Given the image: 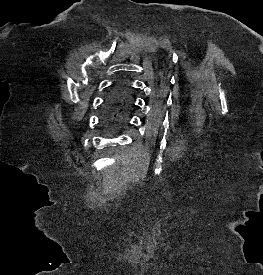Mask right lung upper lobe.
<instances>
[{"mask_svg": "<svg viewBox=\"0 0 263 275\" xmlns=\"http://www.w3.org/2000/svg\"><path fill=\"white\" fill-rule=\"evenodd\" d=\"M121 86L123 87V90L119 96L118 101L116 102L115 110L112 115V120L117 125L125 122L127 113L132 105L127 86L124 84H121Z\"/></svg>", "mask_w": 263, "mask_h": 275, "instance_id": "obj_1", "label": "right lung upper lobe"}]
</instances>
